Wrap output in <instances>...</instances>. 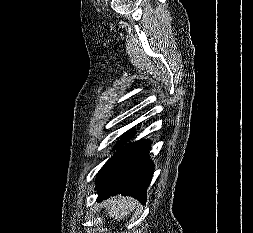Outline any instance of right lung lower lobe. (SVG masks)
<instances>
[{
    "instance_id": "98d812e1",
    "label": "right lung lower lobe",
    "mask_w": 253,
    "mask_h": 233,
    "mask_svg": "<svg viewBox=\"0 0 253 233\" xmlns=\"http://www.w3.org/2000/svg\"><path fill=\"white\" fill-rule=\"evenodd\" d=\"M134 133L126 134L116 145L122 146L103 166L96 178L97 201L111 195L133 196L145 204L146 190L151 182L154 167L149 159L151 142L140 140L123 146Z\"/></svg>"
}]
</instances>
